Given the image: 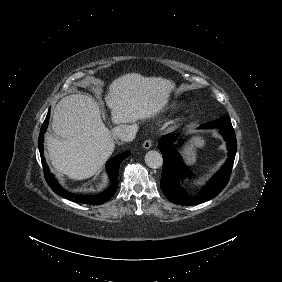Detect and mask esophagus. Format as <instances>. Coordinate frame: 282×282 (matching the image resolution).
<instances>
[{"label":"esophagus","mask_w":282,"mask_h":282,"mask_svg":"<svg viewBox=\"0 0 282 282\" xmlns=\"http://www.w3.org/2000/svg\"><path fill=\"white\" fill-rule=\"evenodd\" d=\"M151 146H152V140L151 139H148L143 143L144 149H150Z\"/></svg>","instance_id":"1"}]
</instances>
